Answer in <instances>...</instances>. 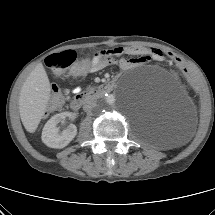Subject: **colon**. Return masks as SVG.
Returning <instances> with one entry per match:
<instances>
[{"mask_svg":"<svg viewBox=\"0 0 215 215\" xmlns=\"http://www.w3.org/2000/svg\"><path fill=\"white\" fill-rule=\"evenodd\" d=\"M164 55L170 58L174 66L179 70L180 75L189 80L190 88H197V76L192 67L179 57L173 50H166ZM77 54L73 50H66L48 56L45 60L46 65L54 72L63 73L65 81L70 82L73 79L83 76L92 66V61L87 56H82L77 62ZM63 103L60 91L56 85L53 86V95L49 103V110L54 111L61 107Z\"/></svg>","mask_w":215,"mask_h":215,"instance_id":"1","label":"colon"}]
</instances>
